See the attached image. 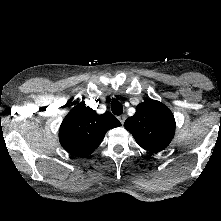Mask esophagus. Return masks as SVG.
Returning <instances> with one entry per match:
<instances>
[{"label":"esophagus","mask_w":221,"mask_h":221,"mask_svg":"<svg viewBox=\"0 0 221 221\" xmlns=\"http://www.w3.org/2000/svg\"><path fill=\"white\" fill-rule=\"evenodd\" d=\"M118 120L121 122V124H124L125 120H126V115H120L118 116Z\"/></svg>","instance_id":"obj_1"}]
</instances>
